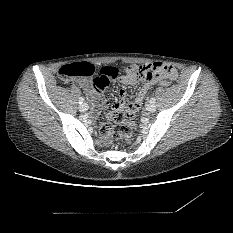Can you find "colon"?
<instances>
[{
    "instance_id": "5ec220e1",
    "label": "colon",
    "mask_w": 233,
    "mask_h": 233,
    "mask_svg": "<svg viewBox=\"0 0 233 233\" xmlns=\"http://www.w3.org/2000/svg\"><path fill=\"white\" fill-rule=\"evenodd\" d=\"M103 68L97 70L95 65L88 61L75 62L62 66L58 70V78L62 82H66L71 78H93V81L98 84L101 81ZM125 73L127 76L134 79H143L147 82L153 80L158 73H163L167 76L173 74V68L166 63H154L151 65H129ZM135 114V109L127 107L125 111H116L109 115V120L113 121L115 125L109 122H101L99 132L103 137H112L122 139L129 142L132 137V124L128 119Z\"/></svg>"
}]
</instances>
